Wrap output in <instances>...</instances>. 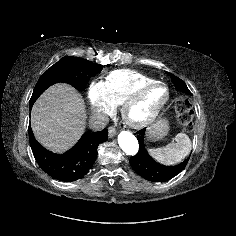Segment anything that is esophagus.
I'll list each match as a JSON object with an SVG mask.
<instances>
[{
	"label": "esophagus",
	"mask_w": 236,
	"mask_h": 236,
	"mask_svg": "<svg viewBox=\"0 0 236 236\" xmlns=\"http://www.w3.org/2000/svg\"><path fill=\"white\" fill-rule=\"evenodd\" d=\"M116 135V129L114 127L109 128V137L112 138Z\"/></svg>",
	"instance_id": "obj_1"
}]
</instances>
